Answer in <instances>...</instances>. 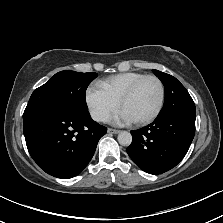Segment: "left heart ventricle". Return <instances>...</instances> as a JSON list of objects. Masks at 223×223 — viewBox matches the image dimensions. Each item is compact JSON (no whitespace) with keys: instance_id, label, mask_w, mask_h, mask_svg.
<instances>
[{"instance_id":"obj_1","label":"left heart ventricle","mask_w":223,"mask_h":223,"mask_svg":"<svg viewBox=\"0 0 223 223\" xmlns=\"http://www.w3.org/2000/svg\"><path fill=\"white\" fill-rule=\"evenodd\" d=\"M159 98L158 84L154 80L145 81L133 96L121 106L133 120L149 116L156 108Z\"/></svg>"}]
</instances>
